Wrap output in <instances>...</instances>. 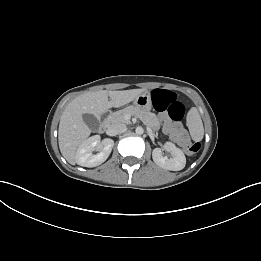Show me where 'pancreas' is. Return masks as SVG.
<instances>
[{
  "instance_id": "cf45deb5",
  "label": "pancreas",
  "mask_w": 261,
  "mask_h": 261,
  "mask_svg": "<svg viewBox=\"0 0 261 261\" xmlns=\"http://www.w3.org/2000/svg\"><path fill=\"white\" fill-rule=\"evenodd\" d=\"M127 115H134L139 117L145 124L152 126L157 117L154 113L144 111L136 106H128L122 110L110 114L107 118L109 124L115 123H129V119L126 118Z\"/></svg>"
}]
</instances>
